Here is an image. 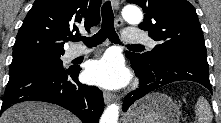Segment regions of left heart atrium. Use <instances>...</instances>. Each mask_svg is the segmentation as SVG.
<instances>
[{"mask_svg":"<svg viewBox=\"0 0 221 123\" xmlns=\"http://www.w3.org/2000/svg\"><path fill=\"white\" fill-rule=\"evenodd\" d=\"M84 76L89 83L104 88H116L128 80V72L122 59L114 54H107L99 60L90 62Z\"/></svg>","mask_w":221,"mask_h":123,"instance_id":"left-heart-atrium-1","label":"left heart atrium"}]
</instances>
